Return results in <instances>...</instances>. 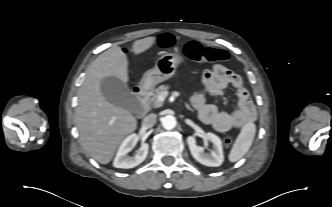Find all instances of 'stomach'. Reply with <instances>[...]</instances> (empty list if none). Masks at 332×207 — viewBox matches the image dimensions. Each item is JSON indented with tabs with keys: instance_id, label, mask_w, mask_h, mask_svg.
Masks as SVG:
<instances>
[{
	"instance_id": "1",
	"label": "stomach",
	"mask_w": 332,
	"mask_h": 207,
	"mask_svg": "<svg viewBox=\"0 0 332 207\" xmlns=\"http://www.w3.org/2000/svg\"><path fill=\"white\" fill-rule=\"evenodd\" d=\"M184 61L177 53H166L157 59L155 66L146 71L139 83L143 90H152L157 84L171 78L177 67Z\"/></svg>"
}]
</instances>
